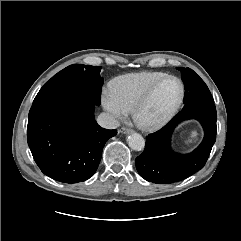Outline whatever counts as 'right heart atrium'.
<instances>
[{"mask_svg":"<svg viewBox=\"0 0 241 241\" xmlns=\"http://www.w3.org/2000/svg\"><path fill=\"white\" fill-rule=\"evenodd\" d=\"M103 108L117 120L123 119L127 115L126 108L117 100L110 89H105L101 94Z\"/></svg>","mask_w":241,"mask_h":241,"instance_id":"d8ad5b80","label":"right heart atrium"}]
</instances>
